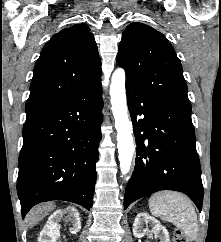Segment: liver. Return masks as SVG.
<instances>
[{"instance_id":"1","label":"liver","mask_w":221,"mask_h":242,"mask_svg":"<svg viewBox=\"0 0 221 242\" xmlns=\"http://www.w3.org/2000/svg\"><path fill=\"white\" fill-rule=\"evenodd\" d=\"M54 208L55 205L53 203H46L33 208L26 217L28 226H35L38 222L43 220L51 211H53Z\"/></svg>"}]
</instances>
